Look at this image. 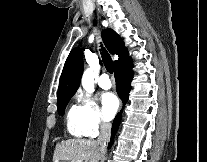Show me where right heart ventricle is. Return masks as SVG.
Returning a JSON list of instances; mask_svg holds the SVG:
<instances>
[{
  "instance_id": "right-heart-ventricle-1",
  "label": "right heart ventricle",
  "mask_w": 207,
  "mask_h": 162,
  "mask_svg": "<svg viewBox=\"0 0 207 162\" xmlns=\"http://www.w3.org/2000/svg\"><path fill=\"white\" fill-rule=\"evenodd\" d=\"M67 131L75 137L87 136L83 123V109L81 105L72 104L66 114Z\"/></svg>"
}]
</instances>
